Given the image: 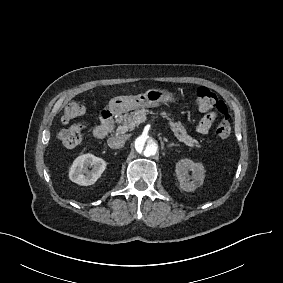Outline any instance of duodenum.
Segmentation results:
<instances>
[{"label": "duodenum", "instance_id": "1", "mask_svg": "<svg viewBox=\"0 0 283 283\" xmlns=\"http://www.w3.org/2000/svg\"><path fill=\"white\" fill-rule=\"evenodd\" d=\"M113 115L111 112H104L100 117V123L95 127L93 134L96 139H104L110 131Z\"/></svg>", "mask_w": 283, "mask_h": 283}]
</instances>
